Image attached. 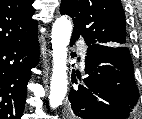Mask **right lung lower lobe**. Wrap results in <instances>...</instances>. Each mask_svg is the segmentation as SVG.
<instances>
[{
  "label": "right lung lower lobe",
  "instance_id": "1",
  "mask_svg": "<svg viewBox=\"0 0 142 119\" xmlns=\"http://www.w3.org/2000/svg\"><path fill=\"white\" fill-rule=\"evenodd\" d=\"M39 58L37 32L0 48V119H21L31 69Z\"/></svg>",
  "mask_w": 142,
  "mask_h": 119
}]
</instances>
